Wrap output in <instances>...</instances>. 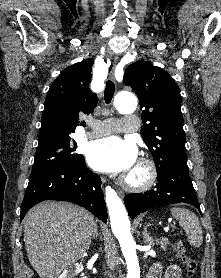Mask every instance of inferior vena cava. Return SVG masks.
Wrapping results in <instances>:
<instances>
[{
  "mask_svg": "<svg viewBox=\"0 0 221 278\" xmlns=\"http://www.w3.org/2000/svg\"><path fill=\"white\" fill-rule=\"evenodd\" d=\"M108 276H109V278H112L113 274L112 273H108Z\"/></svg>",
  "mask_w": 221,
  "mask_h": 278,
  "instance_id": "obj_1",
  "label": "inferior vena cava"
}]
</instances>
